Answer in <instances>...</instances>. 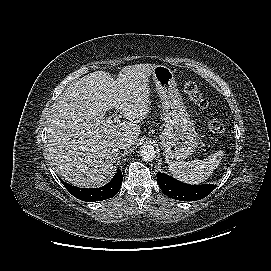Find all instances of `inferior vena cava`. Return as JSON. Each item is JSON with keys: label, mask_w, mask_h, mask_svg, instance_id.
I'll use <instances>...</instances> for the list:
<instances>
[{"label": "inferior vena cava", "mask_w": 271, "mask_h": 271, "mask_svg": "<svg viewBox=\"0 0 271 271\" xmlns=\"http://www.w3.org/2000/svg\"><path fill=\"white\" fill-rule=\"evenodd\" d=\"M115 144L120 149L129 148L132 145V139L128 135L120 136L115 139Z\"/></svg>", "instance_id": "obj_1"}]
</instances>
